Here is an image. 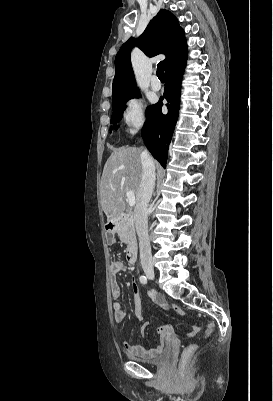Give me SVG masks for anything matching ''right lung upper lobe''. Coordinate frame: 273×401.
<instances>
[{"label":"right lung upper lobe","mask_w":273,"mask_h":401,"mask_svg":"<svg viewBox=\"0 0 273 401\" xmlns=\"http://www.w3.org/2000/svg\"><path fill=\"white\" fill-rule=\"evenodd\" d=\"M135 45L149 57L164 54L166 56L163 60L165 72L187 59L184 30L171 12L160 10L143 34L137 40L130 38L121 46L116 55V74L112 87L113 107L139 94L130 60L131 50Z\"/></svg>","instance_id":"obj_1"}]
</instances>
